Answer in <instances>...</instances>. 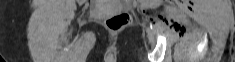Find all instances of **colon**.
Masks as SVG:
<instances>
[{
	"mask_svg": "<svg viewBox=\"0 0 235 62\" xmlns=\"http://www.w3.org/2000/svg\"><path fill=\"white\" fill-rule=\"evenodd\" d=\"M131 21L130 14L121 12L108 17L105 21L106 27L111 31H119L129 25Z\"/></svg>",
	"mask_w": 235,
	"mask_h": 62,
	"instance_id": "5ec220e1",
	"label": "colon"
}]
</instances>
